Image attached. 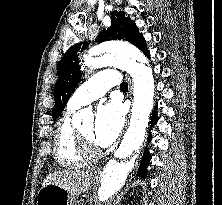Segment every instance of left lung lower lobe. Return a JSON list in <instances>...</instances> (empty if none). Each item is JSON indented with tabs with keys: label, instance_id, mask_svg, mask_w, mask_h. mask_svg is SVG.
I'll return each instance as SVG.
<instances>
[{
	"label": "left lung lower lobe",
	"instance_id": "obj_1",
	"mask_svg": "<svg viewBox=\"0 0 222 205\" xmlns=\"http://www.w3.org/2000/svg\"><path fill=\"white\" fill-rule=\"evenodd\" d=\"M139 49L147 56L149 57V52L147 50V47H146V43L145 41L141 44V46L139 47ZM158 121V116H157V106L155 107L154 109V112H153V116H152V119H151V127L153 125H155ZM149 141H151V136H149ZM150 159H151V155L150 153L146 150L145 153H144V156L142 158V161H141V165H140V168L138 170V176L140 177H145L146 176V169H147V166L150 162Z\"/></svg>",
	"mask_w": 222,
	"mask_h": 205
}]
</instances>
